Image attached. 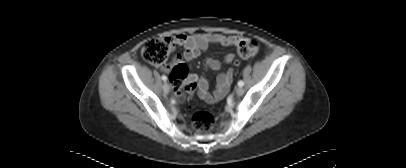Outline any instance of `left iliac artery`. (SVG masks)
I'll return each instance as SVG.
<instances>
[{"mask_svg": "<svg viewBox=\"0 0 406 168\" xmlns=\"http://www.w3.org/2000/svg\"><path fill=\"white\" fill-rule=\"evenodd\" d=\"M238 85H239L240 87H243V86H244V82H243L242 80H240V81L238 82Z\"/></svg>", "mask_w": 406, "mask_h": 168, "instance_id": "1", "label": "left iliac artery"}]
</instances>
